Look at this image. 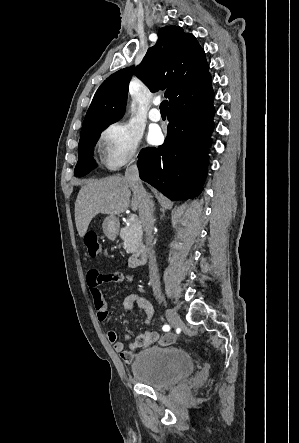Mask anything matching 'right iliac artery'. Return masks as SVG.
<instances>
[{
    "label": "right iliac artery",
    "mask_w": 299,
    "mask_h": 443,
    "mask_svg": "<svg viewBox=\"0 0 299 443\" xmlns=\"http://www.w3.org/2000/svg\"><path fill=\"white\" fill-rule=\"evenodd\" d=\"M162 329H163V331H169L170 330V326L169 325H164Z\"/></svg>",
    "instance_id": "right-iliac-artery-1"
}]
</instances>
